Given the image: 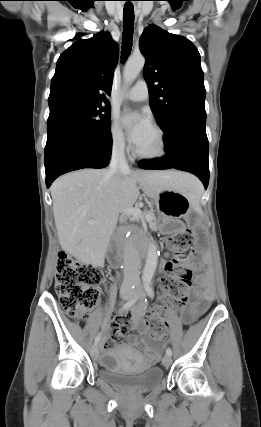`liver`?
<instances>
[{
    "mask_svg": "<svg viewBox=\"0 0 261 427\" xmlns=\"http://www.w3.org/2000/svg\"><path fill=\"white\" fill-rule=\"evenodd\" d=\"M192 181L193 176L173 170L109 174L108 169L85 168L65 174L51 186L59 244L83 262L101 265L119 213L133 207L139 189L151 198L165 189L188 195Z\"/></svg>",
    "mask_w": 261,
    "mask_h": 427,
    "instance_id": "1",
    "label": "liver"
}]
</instances>
